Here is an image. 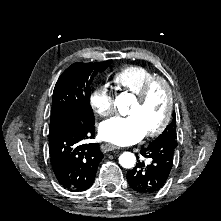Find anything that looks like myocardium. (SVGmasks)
<instances>
[{
	"instance_id": "myocardium-1",
	"label": "myocardium",
	"mask_w": 221,
	"mask_h": 221,
	"mask_svg": "<svg viewBox=\"0 0 221 221\" xmlns=\"http://www.w3.org/2000/svg\"><path fill=\"white\" fill-rule=\"evenodd\" d=\"M157 86H162L166 90L167 110H166V114H165L163 120L160 122V124L156 128H154L146 133L147 137H155V136H158L159 134H161L169 125L172 115H173V106H174L173 91H172V87L169 84V82L167 80H165L164 78L156 77V78H153V79L147 81V83L144 85V87L139 92V94L136 95L137 103L139 105L145 104L146 101L148 100L151 92Z\"/></svg>"
}]
</instances>
